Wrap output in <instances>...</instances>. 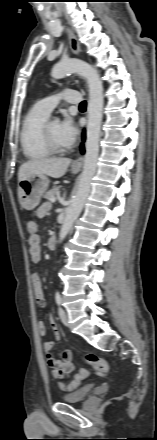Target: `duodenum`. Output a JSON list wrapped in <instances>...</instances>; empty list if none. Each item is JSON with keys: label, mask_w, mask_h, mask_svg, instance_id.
Returning a JSON list of instances; mask_svg holds the SVG:
<instances>
[{"label": "duodenum", "mask_w": 157, "mask_h": 440, "mask_svg": "<svg viewBox=\"0 0 157 440\" xmlns=\"http://www.w3.org/2000/svg\"><path fill=\"white\" fill-rule=\"evenodd\" d=\"M56 242H57L56 236L55 235L50 236L48 239V247L50 249L54 248L56 245Z\"/></svg>", "instance_id": "obj_1"}]
</instances>
